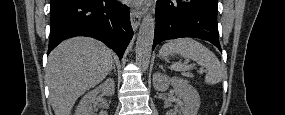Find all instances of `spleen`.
<instances>
[{
	"mask_svg": "<svg viewBox=\"0 0 285 115\" xmlns=\"http://www.w3.org/2000/svg\"><path fill=\"white\" fill-rule=\"evenodd\" d=\"M173 54H178L184 58L192 59L196 61L198 65L206 68V84H217L224 77V68L215 54L203 44L192 38L170 40L162 46L160 55L165 60H167L169 55ZM192 68V66L182 64L180 62H175L171 65V69L177 72H184Z\"/></svg>",
	"mask_w": 285,
	"mask_h": 115,
	"instance_id": "obj_1",
	"label": "spleen"
}]
</instances>
